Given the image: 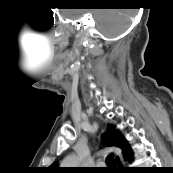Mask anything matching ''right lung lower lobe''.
Wrapping results in <instances>:
<instances>
[{"instance_id": "98d812e1", "label": "right lung lower lobe", "mask_w": 173, "mask_h": 173, "mask_svg": "<svg viewBox=\"0 0 173 173\" xmlns=\"http://www.w3.org/2000/svg\"><path fill=\"white\" fill-rule=\"evenodd\" d=\"M132 160V151L125 155V160ZM120 164V163H119ZM121 165V164H120ZM118 173H143L145 172L142 168L122 167L120 166L117 170Z\"/></svg>"}]
</instances>
